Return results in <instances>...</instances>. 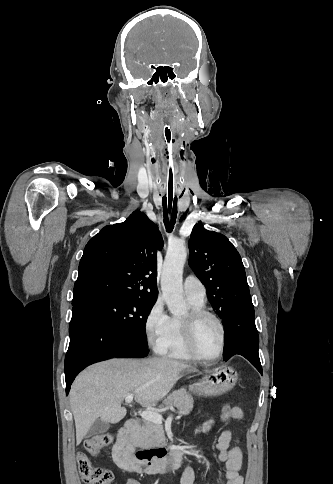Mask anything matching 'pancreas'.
I'll return each instance as SVG.
<instances>
[{"label":"pancreas","instance_id":"pancreas-1","mask_svg":"<svg viewBox=\"0 0 333 484\" xmlns=\"http://www.w3.org/2000/svg\"><path fill=\"white\" fill-rule=\"evenodd\" d=\"M163 405H174L180 415H189L193 409V398L186 389H179L168 396ZM130 439L135 446L142 448L158 447L166 441L163 426L147 420H143V424L130 434Z\"/></svg>","mask_w":333,"mask_h":484}]
</instances>
